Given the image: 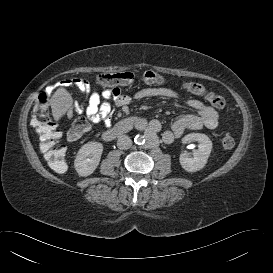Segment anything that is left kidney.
I'll return each instance as SVG.
<instances>
[{
	"mask_svg": "<svg viewBox=\"0 0 273 273\" xmlns=\"http://www.w3.org/2000/svg\"><path fill=\"white\" fill-rule=\"evenodd\" d=\"M198 142V149L193 151V157L189 153H182L179 161L184 170L187 172H196L204 168L212 150V142L209 137L201 133H190L182 139V143Z\"/></svg>",
	"mask_w": 273,
	"mask_h": 273,
	"instance_id": "5707ae66",
	"label": "left kidney"
}]
</instances>
